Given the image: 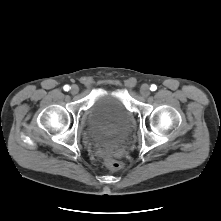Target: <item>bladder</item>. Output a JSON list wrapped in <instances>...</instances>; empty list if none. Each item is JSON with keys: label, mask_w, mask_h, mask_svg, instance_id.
I'll use <instances>...</instances> for the list:
<instances>
[{"label": "bladder", "mask_w": 221, "mask_h": 221, "mask_svg": "<svg viewBox=\"0 0 221 221\" xmlns=\"http://www.w3.org/2000/svg\"><path fill=\"white\" fill-rule=\"evenodd\" d=\"M132 113L114 89L98 93L88 109L86 131L98 143L114 149L130 133Z\"/></svg>", "instance_id": "31cf9c89"}]
</instances>
